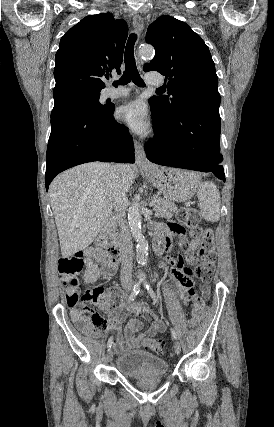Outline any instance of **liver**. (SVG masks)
I'll return each instance as SVG.
<instances>
[{"instance_id": "liver-1", "label": "liver", "mask_w": 274, "mask_h": 427, "mask_svg": "<svg viewBox=\"0 0 274 427\" xmlns=\"http://www.w3.org/2000/svg\"><path fill=\"white\" fill-rule=\"evenodd\" d=\"M113 172L111 164L90 162L59 174L49 186L63 257L85 249L112 214L114 196L123 182L126 192L135 180V166Z\"/></svg>"}]
</instances>
